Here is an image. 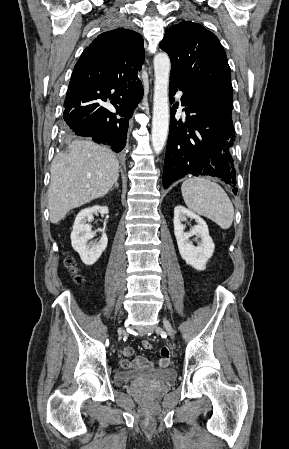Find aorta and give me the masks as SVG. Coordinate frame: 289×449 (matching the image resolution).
<instances>
[{
  "mask_svg": "<svg viewBox=\"0 0 289 449\" xmlns=\"http://www.w3.org/2000/svg\"><path fill=\"white\" fill-rule=\"evenodd\" d=\"M171 63L169 56L158 53L154 57V96L152 119V147L159 154L166 143L169 129L168 88Z\"/></svg>",
  "mask_w": 289,
  "mask_h": 449,
  "instance_id": "1",
  "label": "aorta"
}]
</instances>
